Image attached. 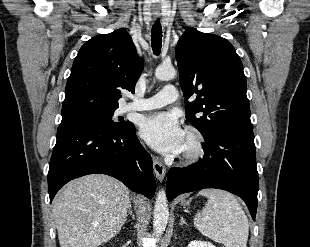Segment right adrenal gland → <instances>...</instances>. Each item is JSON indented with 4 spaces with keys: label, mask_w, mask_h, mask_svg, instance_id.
Masks as SVG:
<instances>
[{
    "label": "right adrenal gland",
    "mask_w": 310,
    "mask_h": 247,
    "mask_svg": "<svg viewBox=\"0 0 310 247\" xmlns=\"http://www.w3.org/2000/svg\"><path fill=\"white\" fill-rule=\"evenodd\" d=\"M128 215H130V216H132V218H134V215L132 214V210H131V204L129 205L128 214L126 215L123 224H125V222L127 221Z\"/></svg>",
    "instance_id": "right-adrenal-gland-1"
}]
</instances>
